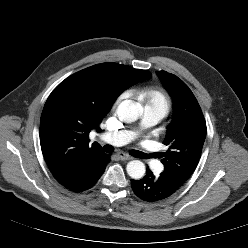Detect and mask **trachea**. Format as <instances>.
<instances>
[{
	"instance_id": "1",
	"label": "trachea",
	"mask_w": 248,
	"mask_h": 248,
	"mask_svg": "<svg viewBox=\"0 0 248 248\" xmlns=\"http://www.w3.org/2000/svg\"><path fill=\"white\" fill-rule=\"evenodd\" d=\"M103 149H104L105 152H108V153H109V152H112V151L114 150V148H113L111 145H105V146L103 147ZM130 154H131L132 156H134V157L142 158V159L148 158L149 156H151V157H156V154L147 155V154H145V153H143V152H140V151H137V150H132V151L130 152Z\"/></svg>"
}]
</instances>
